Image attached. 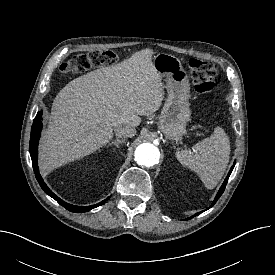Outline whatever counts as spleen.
Here are the masks:
<instances>
[{
	"label": "spleen",
	"instance_id": "1",
	"mask_svg": "<svg viewBox=\"0 0 275 275\" xmlns=\"http://www.w3.org/2000/svg\"><path fill=\"white\" fill-rule=\"evenodd\" d=\"M177 160L198 174L205 187L214 188L222 178L230 158V141L224 130L215 128L210 137L193 149L176 152Z\"/></svg>",
	"mask_w": 275,
	"mask_h": 275
}]
</instances>
